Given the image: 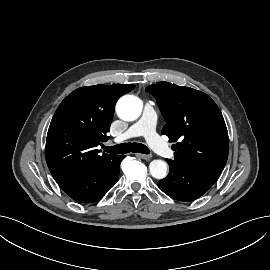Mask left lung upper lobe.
Here are the masks:
<instances>
[{
  "mask_svg": "<svg viewBox=\"0 0 270 270\" xmlns=\"http://www.w3.org/2000/svg\"><path fill=\"white\" fill-rule=\"evenodd\" d=\"M158 101L166 121L162 134L172 146L174 162L221 174L227 162L229 139L216 103L190 87L160 82L147 88Z\"/></svg>",
  "mask_w": 270,
  "mask_h": 270,
  "instance_id": "5c2ea615",
  "label": "left lung upper lobe"
}]
</instances>
